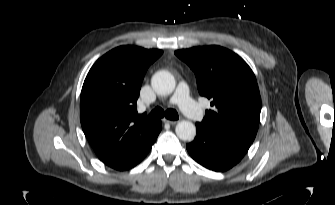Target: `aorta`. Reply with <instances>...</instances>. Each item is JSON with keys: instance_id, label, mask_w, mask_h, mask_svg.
<instances>
[{"instance_id": "aorta-1", "label": "aorta", "mask_w": 335, "mask_h": 205, "mask_svg": "<svg viewBox=\"0 0 335 205\" xmlns=\"http://www.w3.org/2000/svg\"><path fill=\"white\" fill-rule=\"evenodd\" d=\"M151 84L154 91L160 95L171 94L176 86L174 76L165 70L156 72L152 79ZM176 135L183 141H192L196 135V127L190 121H180L175 128Z\"/></svg>"}]
</instances>
